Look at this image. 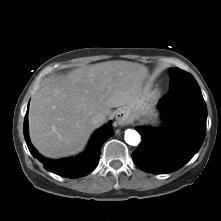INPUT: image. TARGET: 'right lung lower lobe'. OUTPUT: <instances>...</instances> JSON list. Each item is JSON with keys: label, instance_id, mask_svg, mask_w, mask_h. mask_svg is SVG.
Masks as SVG:
<instances>
[{"label": "right lung lower lobe", "instance_id": "98d812e1", "mask_svg": "<svg viewBox=\"0 0 221 221\" xmlns=\"http://www.w3.org/2000/svg\"><path fill=\"white\" fill-rule=\"evenodd\" d=\"M113 134L114 130L110 121L93 134L87 149L77 157L62 160H49L42 157L29 140L28 110L24 119V137L32 156L36 157L40 162H43L46 170L70 179L83 177L94 170L99 162L101 145Z\"/></svg>", "mask_w": 221, "mask_h": 221}]
</instances>
